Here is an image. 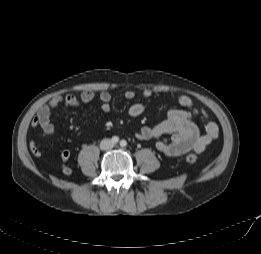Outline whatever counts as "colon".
<instances>
[{"mask_svg":"<svg viewBox=\"0 0 261 254\" xmlns=\"http://www.w3.org/2000/svg\"><path fill=\"white\" fill-rule=\"evenodd\" d=\"M186 161L190 164H198L200 162V159L196 154L188 153L186 155Z\"/></svg>","mask_w":261,"mask_h":254,"instance_id":"colon-1","label":"colon"}]
</instances>
